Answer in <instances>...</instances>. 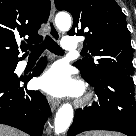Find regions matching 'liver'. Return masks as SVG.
Here are the masks:
<instances>
[{
	"instance_id": "1",
	"label": "liver",
	"mask_w": 136,
	"mask_h": 136,
	"mask_svg": "<svg viewBox=\"0 0 136 136\" xmlns=\"http://www.w3.org/2000/svg\"><path fill=\"white\" fill-rule=\"evenodd\" d=\"M0 136H25V134L15 130L12 127L0 124Z\"/></svg>"
}]
</instances>
